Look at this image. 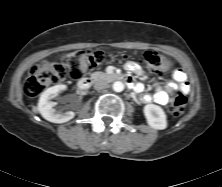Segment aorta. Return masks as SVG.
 I'll use <instances>...</instances> for the list:
<instances>
[{
    "mask_svg": "<svg viewBox=\"0 0 222 187\" xmlns=\"http://www.w3.org/2000/svg\"><path fill=\"white\" fill-rule=\"evenodd\" d=\"M112 88L115 92H122L124 90V84L121 81L113 83Z\"/></svg>",
    "mask_w": 222,
    "mask_h": 187,
    "instance_id": "obj_1",
    "label": "aorta"
}]
</instances>
